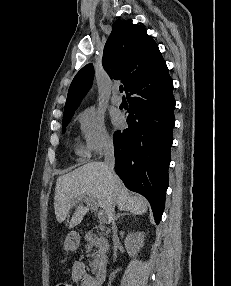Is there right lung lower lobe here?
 Masks as SVG:
<instances>
[{
	"label": "right lung lower lobe",
	"instance_id": "98d812e1",
	"mask_svg": "<svg viewBox=\"0 0 231 286\" xmlns=\"http://www.w3.org/2000/svg\"><path fill=\"white\" fill-rule=\"evenodd\" d=\"M125 92L129 127L113 136L115 171L128 189L147 198L158 224L168 188L175 125L173 81L166 71L133 82Z\"/></svg>",
	"mask_w": 231,
	"mask_h": 286
}]
</instances>
